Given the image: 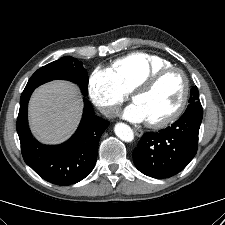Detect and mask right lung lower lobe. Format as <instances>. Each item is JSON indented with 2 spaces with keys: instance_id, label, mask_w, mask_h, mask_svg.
Segmentation results:
<instances>
[{
  "instance_id": "obj_1",
  "label": "right lung lower lobe",
  "mask_w": 225,
  "mask_h": 225,
  "mask_svg": "<svg viewBox=\"0 0 225 225\" xmlns=\"http://www.w3.org/2000/svg\"><path fill=\"white\" fill-rule=\"evenodd\" d=\"M32 92L23 91L17 118L24 161L50 183L68 186L81 181L95 166L99 139L109 122L94 115L91 103L84 98V112L75 134L61 145L40 144L33 138L28 127L27 106Z\"/></svg>"
}]
</instances>
